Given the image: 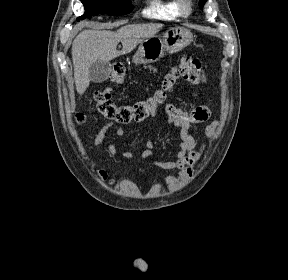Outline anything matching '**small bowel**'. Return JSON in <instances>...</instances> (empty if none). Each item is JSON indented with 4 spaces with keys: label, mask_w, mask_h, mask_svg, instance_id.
Masks as SVG:
<instances>
[{
    "label": "small bowel",
    "mask_w": 288,
    "mask_h": 280,
    "mask_svg": "<svg viewBox=\"0 0 288 280\" xmlns=\"http://www.w3.org/2000/svg\"><path fill=\"white\" fill-rule=\"evenodd\" d=\"M165 121L173 125L180 134V140L178 143V151L176 158L172 161H158L154 159L151 147L148 145L142 152L141 157L144 159H152L155 164L164 169H176L177 175H169L161 179V182L165 184L169 189H176L183 185L192 175L195 165L202 157V150H196V142L191 134V127L194 124L204 123L208 121L212 115L211 108L207 105H200L190 111L183 110L176 107L172 103L165 104ZM158 111L154 112L151 117H156ZM111 127V123L104 124L95 136L94 144L100 148L105 138L107 130ZM216 128V123L213 122L206 128L207 136H211ZM126 134V129L120 127L116 130V135L123 137ZM118 145L112 142L108 146V152L110 156L116 157ZM122 156L125 159H133L135 154L131 151L125 150L122 152ZM98 174L102 180L112 183L104 169H99Z\"/></svg>",
    "instance_id": "1"
}]
</instances>
